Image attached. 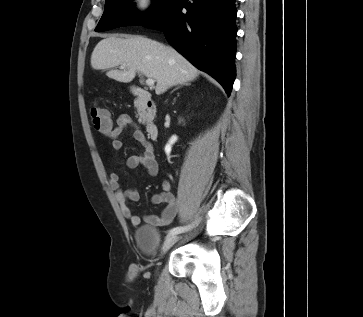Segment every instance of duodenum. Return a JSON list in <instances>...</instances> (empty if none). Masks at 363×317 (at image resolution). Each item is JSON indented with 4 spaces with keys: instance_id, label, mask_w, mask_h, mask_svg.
Returning <instances> with one entry per match:
<instances>
[{
    "instance_id": "obj_1",
    "label": "duodenum",
    "mask_w": 363,
    "mask_h": 317,
    "mask_svg": "<svg viewBox=\"0 0 363 317\" xmlns=\"http://www.w3.org/2000/svg\"><path fill=\"white\" fill-rule=\"evenodd\" d=\"M132 91L138 101L140 109L147 116H150L154 106L150 93L140 87H134ZM146 129L152 139L156 140L159 137V128L152 120L146 122Z\"/></svg>"
}]
</instances>
